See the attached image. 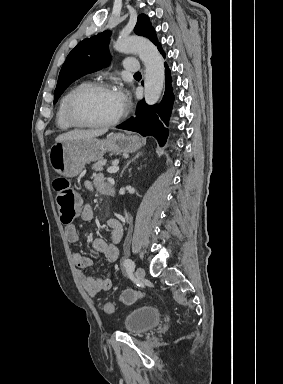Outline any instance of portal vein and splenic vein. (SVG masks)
Listing matches in <instances>:
<instances>
[{
  "instance_id": "18ae733b",
  "label": "portal vein and splenic vein",
  "mask_w": 283,
  "mask_h": 384,
  "mask_svg": "<svg viewBox=\"0 0 283 384\" xmlns=\"http://www.w3.org/2000/svg\"><path fill=\"white\" fill-rule=\"evenodd\" d=\"M119 168L117 166V164H113L112 168H108L107 172H109V174H116V172H118Z\"/></svg>"
}]
</instances>
